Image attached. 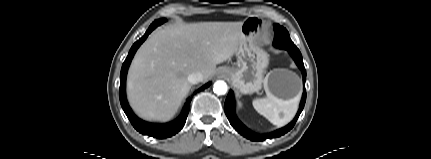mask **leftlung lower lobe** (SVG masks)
Segmentation results:
<instances>
[{
    "instance_id": "1",
    "label": "left lung lower lobe",
    "mask_w": 431,
    "mask_h": 159,
    "mask_svg": "<svg viewBox=\"0 0 431 159\" xmlns=\"http://www.w3.org/2000/svg\"><path fill=\"white\" fill-rule=\"evenodd\" d=\"M288 51L291 54V56L293 57V59L295 60V63L297 64V66L302 71L304 89H303L302 100L300 103V108L298 110V113L295 116V118L293 119V121L291 123H289L287 126L281 128V129H278L274 132H271L269 134H257V133L252 132L245 125H243L235 115V112H234L235 102H234L233 92L229 91V94L227 95L224 110H225L226 116H227L230 124L238 133H240L242 136H244L245 138H247L251 141H264L266 139L276 138V137H280V136L284 135L285 133L290 131L292 129V127L295 125L300 113L302 112V110L304 108L305 101H306V90H305L306 70H305V67L303 64L302 55L298 49H292V50H288Z\"/></svg>"
}]
</instances>
